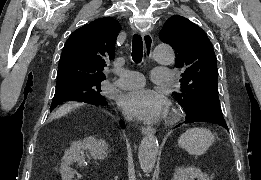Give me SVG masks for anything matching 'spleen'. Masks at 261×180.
Instances as JSON below:
<instances>
[{
  "label": "spleen",
  "instance_id": "3e777b00",
  "mask_svg": "<svg viewBox=\"0 0 261 180\" xmlns=\"http://www.w3.org/2000/svg\"><path fill=\"white\" fill-rule=\"evenodd\" d=\"M215 136L207 128H189L182 134L179 144L190 156H202L206 154L210 146L214 144Z\"/></svg>",
  "mask_w": 261,
  "mask_h": 180
}]
</instances>
